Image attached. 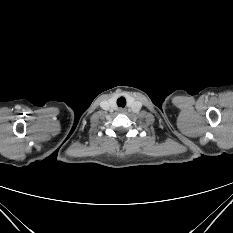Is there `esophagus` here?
<instances>
[{
  "label": "esophagus",
  "mask_w": 233,
  "mask_h": 233,
  "mask_svg": "<svg viewBox=\"0 0 233 233\" xmlns=\"http://www.w3.org/2000/svg\"><path fill=\"white\" fill-rule=\"evenodd\" d=\"M119 112H120V113H123V112H124V110H123V109H120V110H119Z\"/></svg>",
  "instance_id": "obj_1"
}]
</instances>
